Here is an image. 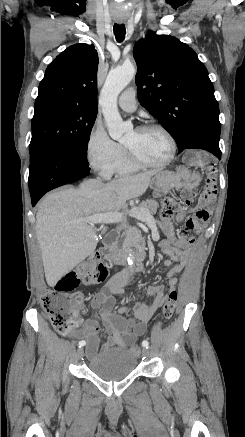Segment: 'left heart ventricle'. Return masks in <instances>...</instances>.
<instances>
[{
	"label": "left heart ventricle",
	"mask_w": 245,
	"mask_h": 437,
	"mask_svg": "<svg viewBox=\"0 0 245 437\" xmlns=\"http://www.w3.org/2000/svg\"><path fill=\"white\" fill-rule=\"evenodd\" d=\"M123 144L136 156L149 162L162 161L170 153L168 139L158 130H132L125 137Z\"/></svg>",
	"instance_id": "1"
}]
</instances>
